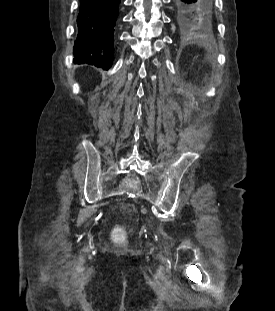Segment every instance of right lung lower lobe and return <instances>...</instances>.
<instances>
[{"label":"right lung lower lobe","instance_id":"98d812e1","mask_svg":"<svg viewBox=\"0 0 275 311\" xmlns=\"http://www.w3.org/2000/svg\"><path fill=\"white\" fill-rule=\"evenodd\" d=\"M78 36L73 62L108 70L113 60V35L120 0H80Z\"/></svg>","mask_w":275,"mask_h":311}]
</instances>
